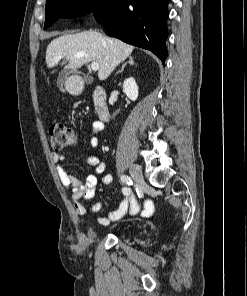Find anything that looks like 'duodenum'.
I'll use <instances>...</instances> for the list:
<instances>
[{
    "label": "duodenum",
    "instance_id": "duodenum-1",
    "mask_svg": "<svg viewBox=\"0 0 247 296\" xmlns=\"http://www.w3.org/2000/svg\"><path fill=\"white\" fill-rule=\"evenodd\" d=\"M94 110L101 121H108L110 111L106 101V92L102 87L96 88L93 95Z\"/></svg>",
    "mask_w": 247,
    "mask_h": 296
}]
</instances>
